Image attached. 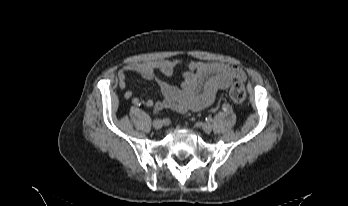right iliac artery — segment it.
<instances>
[{"mask_svg":"<svg viewBox=\"0 0 348 206\" xmlns=\"http://www.w3.org/2000/svg\"><path fill=\"white\" fill-rule=\"evenodd\" d=\"M132 102L136 107H139L141 105V102L138 100L137 97H132Z\"/></svg>","mask_w":348,"mask_h":206,"instance_id":"1","label":"right iliac artery"}]
</instances>
